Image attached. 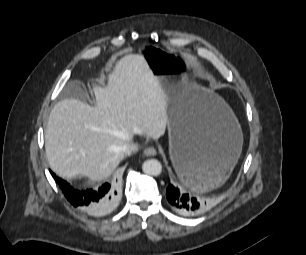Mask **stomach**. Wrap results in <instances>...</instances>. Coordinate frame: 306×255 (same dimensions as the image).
<instances>
[{"instance_id":"0dacf381","label":"stomach","mask_w":306,"mask_h":255,"mask_svg":"<svg viewBox=\"0 0 306 255\" xmlns=\"http://www.w3.org/2000/svg\"><path fill=\"white\" fill-rule=\"evenodd\" d=\"M140 51L166 96L169 153L181 181L198 191L222 185L236 165L243 144L241 127L227 103L192 81L182 54L142 43ZM203 170L201 181L182 177V165Z\"/></svg>"}]
</instances>
